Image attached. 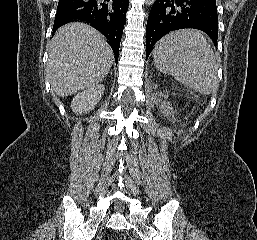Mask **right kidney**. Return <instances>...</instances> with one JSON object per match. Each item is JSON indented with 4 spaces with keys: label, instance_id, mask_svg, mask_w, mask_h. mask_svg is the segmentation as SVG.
Instances as JSON below:
<instances>
[{
    "label": "right kidney",
    "instance_id": "obj_1",
    "mask_svg": "<svg viewBox=\"0 0 257 240\" xmlns=\"http://www.w3.org/2000/svg\"><path fill=\"white\" fill-rule=\"evenodd\" d=\"M104 93V85H96L78 93L71 102L72 111L76 114L87 113L94 109Z\"/></svg>",
    "mask_w": 257,
    "mask_h": 240
}]
</instances>
